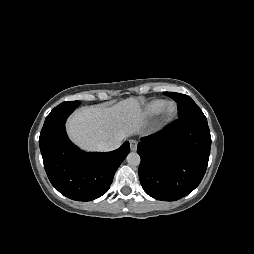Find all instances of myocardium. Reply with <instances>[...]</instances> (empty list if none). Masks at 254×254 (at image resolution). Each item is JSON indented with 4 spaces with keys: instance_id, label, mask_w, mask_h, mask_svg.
Listing matches in <instances>:
<instances>
[{
    "instance_id": "obj_1",
    "label": "myocardium",
    "mask_w": 254,
    "mask_h": 254,
    "mask_svg": "<svg viewBox=\"0 0 254 254\" xmlns=\"http://www.w3.org/2000/svg\"><path fill=\"white\" fill-rule=\"evenodd\" d=\"M177 111V105L174 102H169L162 110V117L165 121H170L176 116Z\"/></svg>"
}]
</instances>
